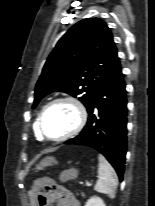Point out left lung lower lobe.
Returning <instances> with one entry per match:
<instances>
[{"instance_id":"left-lung-lower-lobe-1","label":"left lung lower lobe","mask_w":155,"mask_h":206,"mask_svg":"<svg viewBox=\"0 0 155 206\" xmlns=\"http://www.w3.org/2000/svg\"><path fill=\"white\" fill-rule=\"evenodd\" d=\"M119 64L87 108L88 120L82 132L64 144L92 147L103 154L123 180L127 151V99Z\"/></svg>"}]
</instances>
